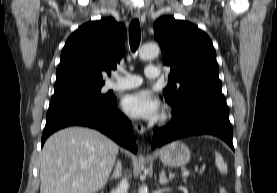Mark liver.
Wrapping results in <instances>:
<instances>
[{"label":"liver","instance_id":"obj_1","mask_svg":"<svg viewBox=\"0 0 277 193\" xmlns=\"http://www.w3.org/2000/svg\"><path fill=\"white\" fill-rule=\"evenodd\" d=\"M119 146L84 127L56 132L45 142L40 160V193H95L105 186Z\"/></svg>","mask_w":277,"mask_h":193}]
</instances>
